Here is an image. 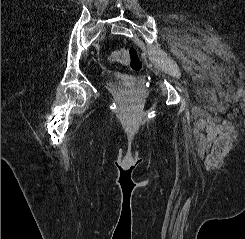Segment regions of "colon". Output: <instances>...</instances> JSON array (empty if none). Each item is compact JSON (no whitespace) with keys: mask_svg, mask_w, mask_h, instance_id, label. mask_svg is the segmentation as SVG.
Segmentation results:
<instances>
[{"mask_svg":"<svg viewBox=\"0 0 245 239\" xmlns=\"http://www.w3.org/2000/svg\"><path fill=\"white\" fill-rule=\"evenodd\" d=\"M111 59L115 62L128 65L133 71H140L143 63L141 57L134 47L123 48L115 51Z\"/></svg>","mask_w":245,"mask_h":239,"instance_id":"obj_1","label":"colon"}]
</instances>
